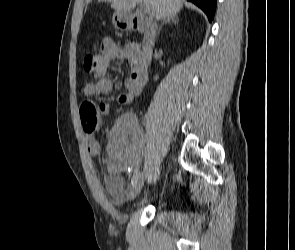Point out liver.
<instances>
[{
	"mask_svg": "<svg viewBox=\"0 0 295 250\" xmlns=\"http://www.w3.org/2000/svg\"><path fill=\"white\" fill-rule=\"evenodd\" d=\"M111 3V7L117 12H130L138 3H145L152 8L156 20L175 16L182 9V0H99Z\"/></svg>",
	"mask_w": 295,
	"mask_h": 250,
	"instance_id": "liver-1",
	"label": "liver"
}]
</instances>
